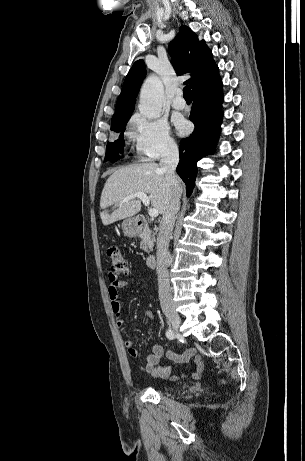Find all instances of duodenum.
Returning <instances> with one entry per match:
<instances>
[{
    "instance_id": "410a0bca",
    "label": "duodenum",
    "mask_w": 305,
    "mask_h": 461,
    "mask_svg": "<svg viewBox=\"0 0 305 461\" xmlns=\"http://www.w3.org/2000/svg\"><path fill=\"white\" fill-rule=\"evenodd\" d=\"M134 226H135V228H136L139 235L144 234L148 229V224L145 221V219H143V218L135 219L134 220ZM145 263H146V266L148 268H153L155 266V263H156L155 255L150 254L149 256H147V258L145 260Z\"/></svg>"
}]
</instances>
